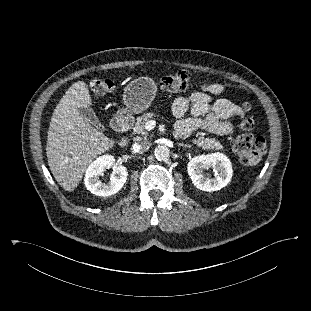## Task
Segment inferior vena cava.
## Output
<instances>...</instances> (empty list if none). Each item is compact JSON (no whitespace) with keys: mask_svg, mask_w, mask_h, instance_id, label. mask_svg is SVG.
Returning a JSON list of instances; mask_svg holds the SVG:
<instances>
[{"mask_svg":"<svg viewBox=\"0 0 311 311\" xmlns=\"http://www.w3.org/2000/svg\"><path fill=\"white\" fill-rule=\"evenodd\" d=\"M151 144L149 141H143L141 144H134L133 147L131 148L133 153L139 152L140 150H148L150 148Z\"/></svg>","mask_w":311,"mask_h":311,"instance_id":"obj_1","label":"inferior vena cava"}]
</instances>
